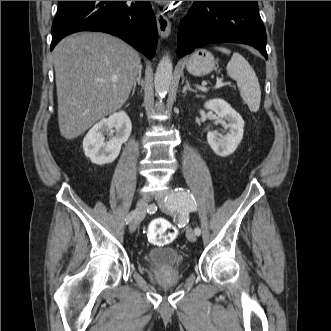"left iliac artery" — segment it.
I'll list each match as a JSON object with an SVG mask.
<instances>
[{"label": "left iliac artery", "instance_id": "1", "mask_svg": "<svg viewBox=\"0 0 331 331\" xmlns=\"http://www.w3.org/2000/svg\"><path fill=\"white\" fill-rule=\"evenodd\" d=\"M165 202L171 212H177L185 219L190 212L196 211L197 209L193 195L183 188H176L171 196L166 197ZM195 233L197 236L200 235L201 229L197 227Z\"/></svg>", "mask_w": 331, "mask_h": 331}]
</instances>
